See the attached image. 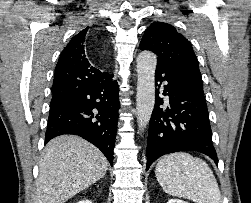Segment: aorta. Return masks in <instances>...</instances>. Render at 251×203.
<instances>
[{"label":"aorta","instance_id":"obj_1","mask_svg":"<svg viewBox=\"0 0 251 203\" xmlns=\"http://www.w3.org/2000/svg\"><path fill=\"white\" fill-rule=\"evenodd\" d=\"M157 57L151 51H142L137 57L136 109L139 131L150 121L155 104V69Z\"/></svg>","mask_w":251,"mask_h":203}]
</instances>
